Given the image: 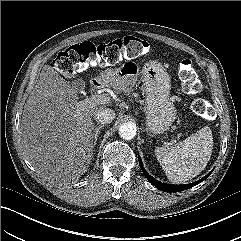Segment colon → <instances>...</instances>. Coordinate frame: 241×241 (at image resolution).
Instances as JSON below:
<instances>
[{
	"mask_svg": "<svg viewBox=\"0 0 241 241\" xmlns=\"http://www.w3.org/2000/svg\"><path fill=\"white\" fill-rule=\"evenodd\" d=\"M150 50L148 42L133 36L102 45L83 42L60 52L53 60L52 65L62 75L73 77L90 66L113 65L123 58L134 59L145 55ZM179 76L185 93L196 95L201 91V83L190 59L181 61ZM192 110L198 115L210 114L207 103L203 99L194 100Z\"/></svg>",
	"mask_w": 241,
	"mask_h": 241,
	"instance_id": "1",
	"label": "colon"
}]
</instances>
